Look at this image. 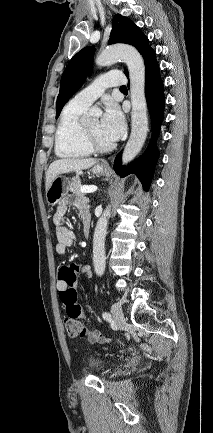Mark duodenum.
<instances>
[{"label":"duodenum","instance_id":"1","mask_svg":"<svg viewBox=\"0 0 213 433\" xmlns=\"http://www.w3.org/2000/svg\"><path fill=\"white\" fill-rule=\"evenodd\" d=\"M83 232H84L85 236L88 237L89 233H90V227L89 226H85L84 229H83Z\"/></svg>","mask_w":213,"mask_h":433}]
</instances>
